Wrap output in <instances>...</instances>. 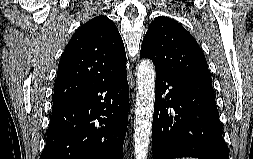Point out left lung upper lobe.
I'll list each match as a JSON object with an SVG mask.
<instances>
[{"instance_id": "obj_1", "label": "left lung upper lobe", "mask_w": 253, "mask_h": 159, "mask_svg": "<svg viewBox=\"0 0 253 159\" xmlns=\"http://www.w3.org/2000/svg\"><path fill=\"white\" fill-rule=\"evenodd\" d=\"M140 55L153 61L156 73L211 82L207 62L198 43L187 30L169 17H156L151 22Z\"/></svg>"}]
</instances>
